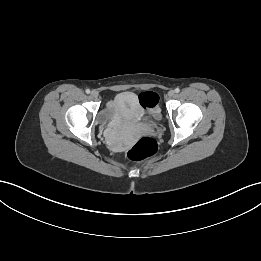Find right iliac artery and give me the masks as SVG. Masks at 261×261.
<instances>
[{"mask_svg": "<svg viewBox=\"0 0 261 261\" xmlns=\"http://www.w3.org/2000/svg\"><path fill=\"white\" fill-rule=\"evenodd\" d=\"M86 93L89 94V93H90V90H89V89H86Z\"/></svg>", "mask_w": 261, "mask_h": 261, "instance_id": "obj_1", "label": "right iliac artery"}]
</instances>
